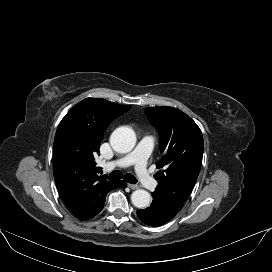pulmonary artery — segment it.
<instances>
[{
    "instance_id": "e3ab8cb5",
    "label": "pulmonary artery",
    "mask_w": 272,
    "mask_h": 272,
    "mask_svg": "<svg viewBox=\"0 0 272 272\" xmlns=\"http://www.w3.org/2000/svg\"><path fill=\"white\" fill-rule=\"evenodd\" d=\"M153 143L154 137L152 136L142 138L137 147L131 153L118 160L107 163L105 168L110 170L115 167L126 168L134 166L143 187L148 190H154L157 186V181L151 176L147 166V161L153 148Z\"/></svg>"
}]
</instances>
